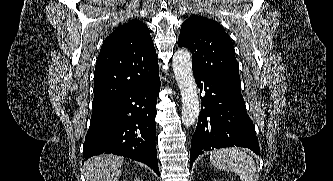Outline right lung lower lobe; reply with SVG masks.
Wrapping results in <instances>:
<instances>
[{
    "instance_id": "obj_1",
    "label": "right lung lower lobe",
    "mask_w": 333,
    "mask_h": 181,
    "mask_svg": "<svg viewBox=\"0 0 333 181\" xmlns=\"http://www.w3.org/2000/svg\"><path fill=\"white\" fill-rule=\"evenodd\" d=\"M160 79L93 108L83 158L112 153L140 161L159 174L155 112Z\"/></svg>"
}]
</instances>
